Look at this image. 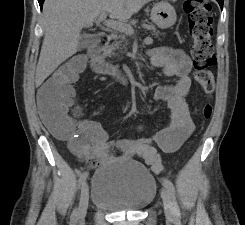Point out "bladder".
Wrapping results in <instances>:
<instances>
[{
	"label": "bladder",
	"instance_id": "bladder-1",
	"mask_svg": "<svg viewBox=\"0 0 245 225\" xmlns=\"http://www.w3.org/2000/svg\"><path fill=\"white\" fill-rule=\"evenodd\" d=\"M90 200L110 211H140L157 193L156 178L135 160H120L97 170L90 179Z\"/></svg>",
	"mask_w": 245,
	"mask_h": 225
}]
</instances>
